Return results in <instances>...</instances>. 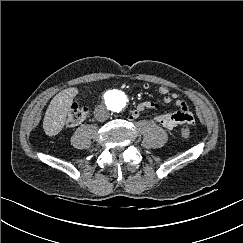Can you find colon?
<instances>
[{"instance_id": "obj_1", "label": "colon", "mask_w": 243, "mask_h": 243, "mask_svg": "<svg viewBox=\"0 0 243 243\" xmlns=\"http://www.w3.org/2000/svg\"><path fill=\"white\" fill-rule=\"evenodd\" d=\"M88 114L86 107H81L77 104H73L67 117V125L76 126L82 123ZM191 134L190 125L184 123L181 128V135L183 138H189Z\"/></svg>"}]
</instances>
